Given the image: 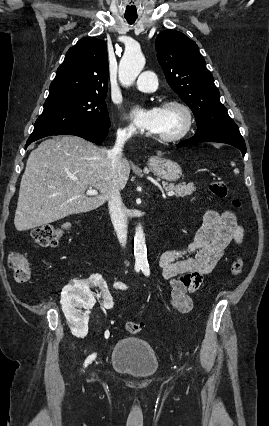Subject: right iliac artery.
I'll list each match as a JSON object with an SVG mask.
<instances>
[{
	"mask_svg": "<svg viewBox=\"0 0 269 426\" xmlns=\"http://www.w3.org/2000/svg\"><path fill=\"white\" fill-rule=\"evenodd\" d=\"M139 270H140V268L139 267H136V271L137 272H139ZM118 285V287L119 288H123V289H125L126 288V286L125 285H120V284H117ZM95 357H96V354L95 353H93V354H91V355H89L88 357H87V359L85 360V362H84V367H87L88 366V364H90L94 359H95Z\"/></svg>",
	"mask_w": 269,
	"mask_h": 426,
	"instance_id": "obj_1",
	"label": "right iliac artery"
}]
</instances>
